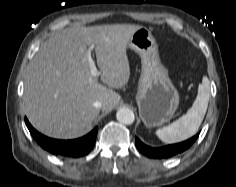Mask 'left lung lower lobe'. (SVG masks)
<instances>
[{
    "label": "left lung lower lobe",
    "mask_w": 236,
    "mask_h": 187,
    "mask_svg": "<svg viewBox=\"0 0 236 187\" xmlns=\"http://www.w3.org/2000/svg\"><path fill=\"white\" fill-rule=\"evenodd\" d=\"M198 135L199 134L181 143L167 145L158 148L147 146L143 142H141L140 139L136 137V146L141 153H143L149 158H155V159L169 158L187 150L195 142Z\"/></svg>",
    "instance_id": "0a47b994"
}]
</instances>
